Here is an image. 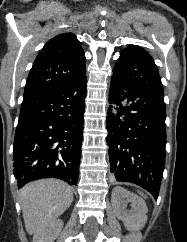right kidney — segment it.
Listing matches in <instances>:
<instances>
[{
  "mask_svg": "<svg viewBox=\"0 0 187 242\" xmlns=\"http://www.w3.org/2000/svg\"><path fill=\"white\" fill-rule=\"evenodd\" d=\"M63 228V221L54 220L34 235L33 242H54Z\"/></svg>",
  "mask_w": 187,
  "mask_h": 242,
  "instance_id": "obj_1",
  "label": "right kidney"
}]
</instances>
